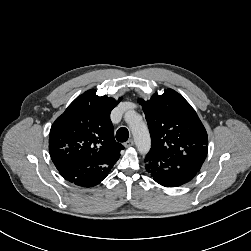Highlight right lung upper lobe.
Instances as JSON below:
<instances>
[{"mask_svg":"<svg viewBox=\"0 0 251 251\" xmlns=\"http://www.w3.org/2000/svg\"><path fill=\"white\" fill-rule=\"evenodd\" d=\"M121 101L98 96L94 89L77 97L53 123L49 152L60 174L80 181L87 170L105 176L120 156L123 145L114 139L112 109Z\"/></svg>","mask_w":251,"mask_h":251,"instance_id":"1","label":"right lung upper lobe"}]
</instances>
